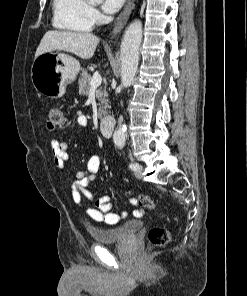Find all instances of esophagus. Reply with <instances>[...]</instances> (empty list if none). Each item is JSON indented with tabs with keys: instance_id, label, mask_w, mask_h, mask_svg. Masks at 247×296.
<instances>
[{
	"instance_id": "esophagus-1",
	"label": "esophagus",
	"mask_w": 247,
	"mask_h": 296,
	"mask_svg": "<svg viewBox=\"0 0 247 296\" xmlns=\"http://www.w3.org/2000/svg\"><path fill=\"white\" fill-rule=\"evenodd\" d=\"M134 2L135 0H128L123 11L117 18V21L115 23V26L111 35V39L114 38L118 33H120L123 27L125 26V24L127 23L129 16L132 12V9L134 8V5H135Z\"/></svg>"
}]
</instances>
